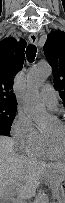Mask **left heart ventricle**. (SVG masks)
<instances>
[{"mask_svg":"<svg viewBox=\"0 0 65 203\" xmlns=\"http://www.w3.org/2000/svg\"><path fill=\"white\" fill-rule=\"evenodd\" d=\"M46 136L50 137L51 139H55L59 143V147H63V128L61 124H57L54 128L46 132Z\"/></svg>","mask_w":65,"mask_h":203,"instance_id":"b2bd125f","label":"left heart ventricle"}]
</instances>
